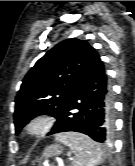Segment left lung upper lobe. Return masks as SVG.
<instances>
[{
    "label": "left lung upper lobe",
    "mask_w": 135,
    "mask_h": 166,
    "mask_svg": "<svg viewBox=\"0 0 135 166\" xmlns=\"http://www.w3.org/2000/svg\"><path fill=\"white\" fill-rule=\"evenodd\" d=\"M87 41L67 39L49 50L23 79L15 100L16 134L38 115L58 118L68 106L80 75L96 55Z\"/></svg>",
    "instance_id": "obj_1"
}]
</instances>
